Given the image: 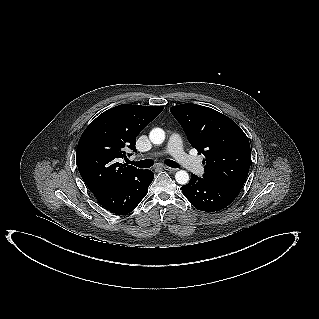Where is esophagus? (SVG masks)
I'll return each mask as SVG.
<instances>
[{"instance_id": "obj_1", "label": "esophagus", "mask_w": 319, "mask_h": 319, "mask_svg": "<svg viewBox=\"0 0 319 319\" xmlns=\"http://www.w3.org/2000/svg\"><path fill=\"white\" fill-rule=\"evenodd\" d=\"M163 168H164V170L169 171V172H176L177 171L176 168H172V167H168V166H164Z\"/></svg>"}]
</instances>
